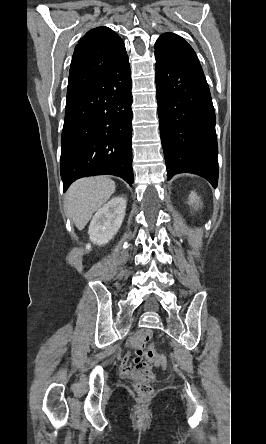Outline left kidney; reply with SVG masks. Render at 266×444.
<instances>
[{"instance_id":"obj_1","label":"left kidney","mask_w":266,"mask_h":444,"mask_svg":"<svg viewBox=\"0 0 266 444\" xmlns=\"http://www.w3.org/2000/svg\"><path fill=\"white\" fill-rule=\"evenodd\" d=\"M199 197H197V194L195 192H191L190 194V204L196 203V206L199 204Z\"/></svg>"}]
</instances>
